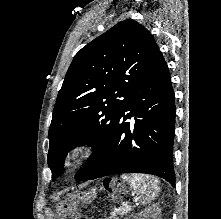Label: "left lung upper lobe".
<instances>
[{
  "label": "left lung upper lobe",
  "instance_id": "left-lung-upper-lobe-1",
  "mask_svg": "<svg viewBox=\"0 0 221 219\" xmlns=\"http://www.w3.org/2000/svg\"><path fill=\"white\" fill-rule=\"evenodd\" d=\"M158 50L144 26L124 20L75 55L58 93L49 128L52 179L61 175L65 156L77 145L93 147L77 181L96 163Z\"/></svg>",
  "mask_w": 221,
  "mask_h": 219
}]
</instances>
